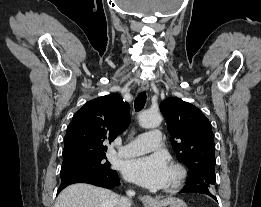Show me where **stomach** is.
I'll list each match as a JSON object with an SVG mask.
<instances>
[{"label": "stomach", "instance_id": "0dacf381", "mask_svg": "<svg viewBox=\"0 0 261 207\" xmlns=\"http://www.w3.org/2000/svg\"><path fill=\"white\" fill-rule=\"evenodd\" d=\"M147 207H187V205L179 198L168 197L162 200H155L153 204Z\"/></svg>", "mask_w": 261, "mask_h": 207}]
</instances>
